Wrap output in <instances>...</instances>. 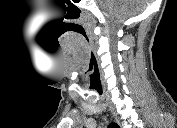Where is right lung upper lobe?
<instances>
[{"label":"right lung upper lobe","instance_id":"obj_1","mask_svg":"<svg viewBox=\"0 0 177 128\" xmlns=\"http://www.w3.org/2000/svg\"><path fill=\"white\" fill-rule=\"evenodd\" d=\"M109 127H111V128H117V127H118V125H117V124H115V123H112V124H110V125H109Z\"/></svg>","mask_w":177,"mask_h":128}]
</instances>
